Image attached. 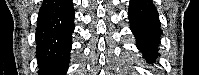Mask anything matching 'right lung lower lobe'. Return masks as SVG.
Segmentation results:
<instances>
[{"label":"right lung lower lobe","mask_w":199,"mask_h":75,"mask_svg":"<svg viewBox=\"0 0 199 75\" xmlns=\"http://www.w3.org/2000/svg\"><path fill=\"white\" fill-rule=\"evenodd\" d=\"M74 14L71 0H43L36 28L39 75H66Z\"/></svg>","instance_id":"1"}]
</instances>
